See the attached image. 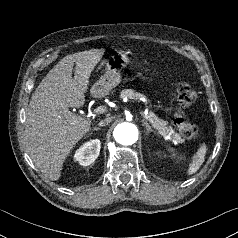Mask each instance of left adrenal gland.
Segmentation results:
<instances>
[{"label": "left adrenal gland", "instance_id": "1", "mask_svg": "<svg viewBox=\"0 0 238 238\" xmlns=\"http://www.w3.org/2000/svg\"><path fill=\"white\" fill-rule=\"evenodd\" d=\"M142 124H143V126H145L146 129H147L146 135H148L150 132H155V131L151 128V126L149 125V123H148L145 119L142 120Z\"/></svg>", "mask_w": 238, "mask_h": 238}]
</instances>
